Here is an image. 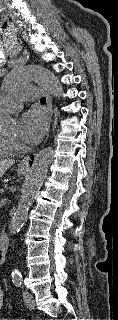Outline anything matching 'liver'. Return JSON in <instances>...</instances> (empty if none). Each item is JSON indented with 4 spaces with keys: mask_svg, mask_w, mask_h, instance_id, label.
<instances>
[{
    "mask_svg": "<svg viewBox=\"0 0 118 320\" xmlns=\"http://www.w3.org/2000/svg\"><path fill=\"white\" fill-rule=\"evenodd\" d=\"M14 163V159H0V177H2Z\"/></svg>",
    "mask_w": 118,
    "mask_h": 320,
    "instance_id": "6515ba94",
    "label": "liver"
}]
</instances>
